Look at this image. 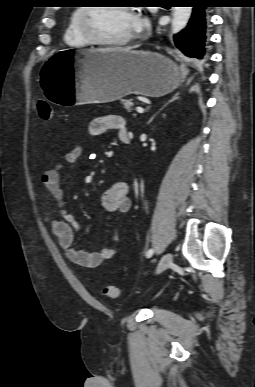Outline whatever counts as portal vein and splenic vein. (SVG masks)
<instances>
[{
  "label": "portal vein and splenic vein",
  "instance_id": "portal-vein-and-splenic-vein-1",
  "mask_svg": "<svg viewBox=\"0 0 255 387\" xmlns=\"http://www.w3.org/2000/svg\"><path fill=\"white\" fill-rule=\"evenodd\" d=\"M136 111L138 112V113H144V109L143 108H141V107H137L136 108Z\"/></svg>",
  "mask_w": 255,
  "mask_h": 387
}]
</instances>
